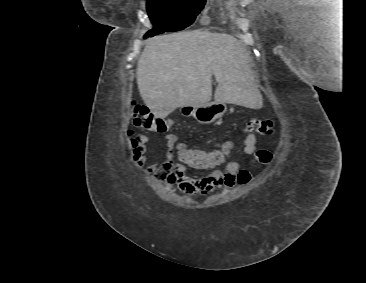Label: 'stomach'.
Segmentation results:
<instances>
[{
  "label": "stomach",
  "mask_w": 366,
  "mask_h": 283,
  "mask_svg": "<svg viewBox=\"0 0 366 283\" xmlns=\"http://www.w3.org/2000/svg\"><path fill=\"white\" fill-rule=\"evenodd\" d=\"M183 114L194 117L201 124H210L222 117L227 110L225 102L214 100L202 105H186Z\"/></svg>",
  "instance_id": "0dacf381"
}]
</instances>
